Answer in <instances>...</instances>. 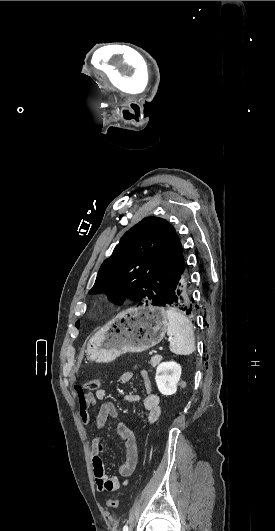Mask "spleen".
<instances>
[{
	"label": "spleen",
	"mask_w": 275,
	"mask_h": 531,
	"mask_svg": "<svg viewBox=\"0 0 275 531\" xmlns=\"http://www.w3.org/2000/svg\"><path fill=\"white\" fill-rule=\"evenodd\" d=\"M166 313L168 317L167 335L172 339L169 345L171 353L191 355L195 351L194 329L191 321L175 309H168Z\"/></svg>",
	"instance_id": "3e777b00"
}]
</instances>
